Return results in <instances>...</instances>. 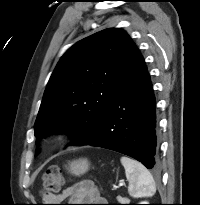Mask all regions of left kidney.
Returning a JSON list of instances; mask_svg holds the SVG:
<instances>
[{"label": "left kidney", "instance_id": "1", "mask_svg": "<svg viewBox=\"0 0 200 205\" xmlns=\"http://www.w3.org/2000/svg\"><path fill=\"white\" fill-rule=\"evenodd\" d=\"M128 202V201H127ZM122 204H125L126 202L122 201ZM140 204H149L148 202H141Z\"/></svg>", "mask_w": 200, "mask_h": 205}]
</instances>
